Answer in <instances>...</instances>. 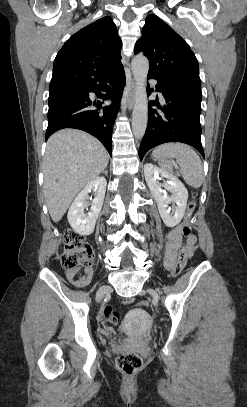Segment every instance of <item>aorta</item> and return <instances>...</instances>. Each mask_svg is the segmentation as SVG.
I'll use <instances>...</instances> for the list:
<instances>
[{
	"label": "aorta",
	"instance_id": "aorta-1",
	"mask_svg": "<svg viewBox=\"0 0 247 407\" xmlns=\"http://www.w3.org/2000/svg\"><path fill=\"white\" fill-rule=\"evenodd\" d=\"M132 74L135 80V102L132 112V130L135 138L144 136L147 119L148 104L146 92V79L149 70V61L143 55H137L131 62Z\"/></svg>",
	"mask_w": 247,
	"mask_h": 407
}]
</instances>
